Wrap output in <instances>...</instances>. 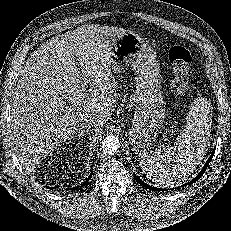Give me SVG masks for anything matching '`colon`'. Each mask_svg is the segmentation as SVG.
Listing matches in <instances>:
<instances>
[{"label": "colon", "instance_id": "colon-1", "mask_svg": "<svg viewBox=\"0 0 231 231\" xmlns=\"http://www.w3.org/2000/svg\"><path fill=\"white\" fill-rule=\"evenodd\" d=\"M175 76V90L180 96L185 95L190 85V69L192 56L183 46H173L168 53Z\"/></svg>", "mask_w": 231, "mask_h": 231}]
</instances>
